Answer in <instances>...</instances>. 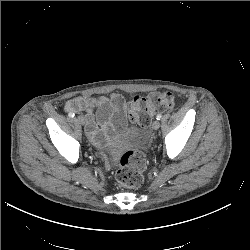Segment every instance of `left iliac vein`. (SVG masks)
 <instances>
[{
  "label": "left iliac vein",
  "mask_w": 250,
  "mask_h": 250,
  "mask_svg": "<svg viewBox=\"0 0 250 250\" xmlns=\"http://www.w3.org/2000/svg\"><path fill=\"white\" fill-rule=\"evenodd\" d=\"M159 127H160V122L159 121H154L153 123H152V128L154 129V130H157V129H159Z\"/></svg>",
  "instance_id": "left-iliac-vein-1"
}]
</instances>
